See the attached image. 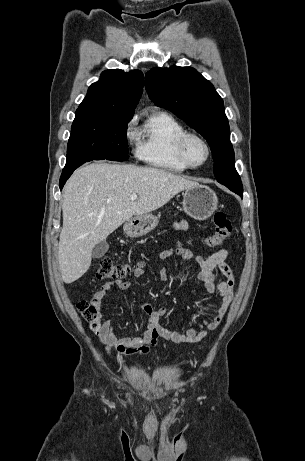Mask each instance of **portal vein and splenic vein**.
I'll use <instances>...</instances> for the list:
<instances>
[{
    "label": "portal vein and splenic vein",
    "mask_w": 305,
    "mask_h": 461,
    "mask_svg": "<svg viewBox=\"0 0 305 461\" xmlns=\"http://www.w3.org/2000/svg\"><path fill=\"white\" fill-rule=\"evenodd\" d=\"M130 199H131L132 201L136 200V199H137V195H136V194H132L131 197H130Z\"/></svg>",
    "instance_id": "obj_1"
}]
</instances>
